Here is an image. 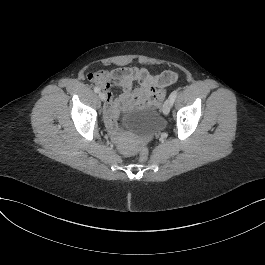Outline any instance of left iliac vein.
<instances>
[{
    "label": "left iliac vein",
    "mask_w": 265,
    "mask_h": 265,
    "mask_svg": "<svg viewBox=\"0 0 265 265\" xmlns=\"http://www.w3.org/2000/svg\"><path fill=\"white\" fill-rule=\"evenodd\" d=\"M171 107H172V102H171V100L169 98L163 104V113H164V115H168L169 114V112L171 110Z\"/></svg>",
    "instance_id": "left-iliac-vein-1"
}]
</instances>
